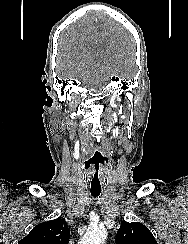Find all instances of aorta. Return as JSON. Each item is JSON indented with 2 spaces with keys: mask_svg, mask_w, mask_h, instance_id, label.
Here are the masks:
<instances>
[{
  "mask_svg": "<svg viewBox=\"0 0 188 244\" xmlns=\"http://www.w3.org/2000/svg\"><path fill=\"white\" fill-rule=\"evenodd\" d=\"M106 237L107 231L104 227H93L87 230L80 244H104Z\"/></svg>",
  "mask_w": 188,
  "mask_h": 244,
  "instance_id": "aorta-1",
  "label": "aorta"
}]
</instances>
